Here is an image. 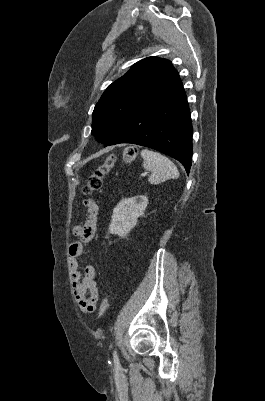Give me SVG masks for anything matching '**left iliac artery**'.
Returning a JSON list of instances; mask_svg holds the SVG:
<instances>
[{"instance_id":"left-iliac-artery-1","label":"left iliac artery","mask_w":265,"mask_h":401,"mask_svg":"<svg viewBox=\"0 0 265 401\" xmlns=\"http://www.w3.org/2000/svg\"><path fill=\"white\" fill-rule=\"evenodd\" d=\"M113 359H114L115 368L119 369L121 367V365H120L119 358H118L116 350H114V352H113Z\"/></svg>"}]
</instances>
